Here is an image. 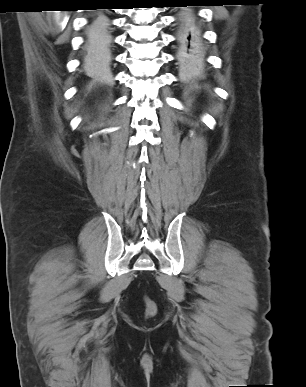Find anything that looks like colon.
<instances>
[{
  "label": "colon",
  "mask_w": 306,
  "mask_h": 387,
  "mask_svg": "<svg viewBox=\"0 0 306 387\" xmlns=\"http://www.w3.org/2000/svg\"><path fill=\"white\" fill-rule=\"evenodd\" d=\"M144 303H145V308H146L145 309L146 316H148V317L154 316L156 313V310H157L156 304L154 303V301L148 297H145Z\"/></svg>",
  "instance_id": "5ec220e1"
}]
</instances>
